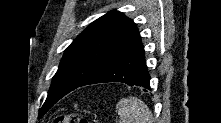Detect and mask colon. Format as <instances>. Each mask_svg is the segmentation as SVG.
<instances>
[{
    "label": "colon",
    "instance_id": "1",
    "mask_svg": "<svg viewBox=\"0 0 221 123\" xmlns=\"http://www.w3.org/2000/svg\"><path fill=\"white\" fill-rule=\"evenodd\" d=\"M54 123H89L87 119L77 113L59 114L54 118Z\"/></svg>",
    "mask_w": 221,
    "mask_h": 123
}]
</instances>
